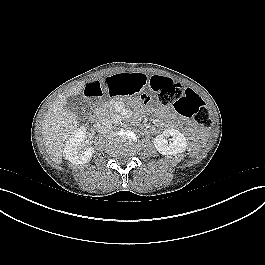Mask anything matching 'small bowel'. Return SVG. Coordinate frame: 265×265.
<instances>
[{
  "label": "small bowel",
  "mask_w": 265,
  "mask_h": 265,
  "mask_svg": "<svg viewBox=\"0 0 265 265\" xmlns=\"http://www.w3.org/2000/svg\"><path fill=\"white\" fill-rule=\"evenodd\" d=\"M146 83V76L142 72L131 71L128 74H117L98 81L95 79L88 80L84 89L88 95H98L105 90L111 95L133 94L139 90V87ZM159 114L167 119H174L175 114L164 108L158 109Z\"/></svg>",
  "instance_id": "obj_1"
}]
</instances>
